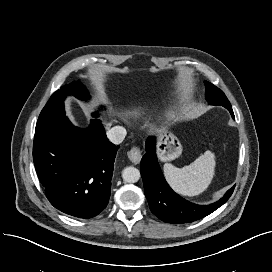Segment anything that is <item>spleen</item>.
<instances>
[{"mask_svg": "<svg viewBox=\"0 0 272 272\" xmlns=\"http://www.w3.org/2000/svg\"><path fill=\"white\" fill-rule=\"evenodd\" d=\"M215 155L206 151L188 166L177 168L164 164V176L171 188L182 196H197L204 192L215 174Z\"/></svg>", "mask_w": 272, "mask_h": 272, "instance_id": "spleen-1", "label": "spleen"}]
</instances>
